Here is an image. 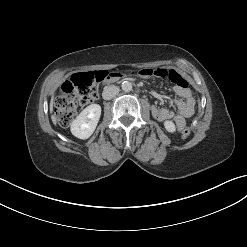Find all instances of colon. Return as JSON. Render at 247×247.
<instances>
[{
    "instance_id": "5ec220e1",
    "label": "colon",
    "mask_w": 247,
    "mask_h": 247,
    "mask_svg": "<svg viewBox=\"0 0 247 247\" xmlns=\"http://www.w3.org/2000/svg\"><path fill=\"white\" fill-rule=\"evenodd\" d=\"M112 74L106 71L85 72L72 75L59 88L55 105V116L60 125L67 127L77 113L79 106L87 105L98 97V85ZM191 129H180L182 139L190 136Z\"/></svg>"
}]
</instances>
